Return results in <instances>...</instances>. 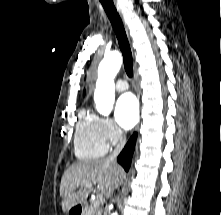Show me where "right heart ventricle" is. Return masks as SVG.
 <instances>
[{"instance_id": "right-heart-ventricle-1", "label": "right heart ventricle", "mask_w": 221, "mask_h": 215, "mask_svg": "<svg viewBox=\"0 0 221 215\" xmlns=\"http://www.w3.org/2000/svg\"><path fill=\"white\" fill-rule=\"evenodd\" d=\"M108 149L103 140L99 118L86 109L79 112L74 134V151L80 160H92L102 157Z\"/></svg>"}]
</instances>
